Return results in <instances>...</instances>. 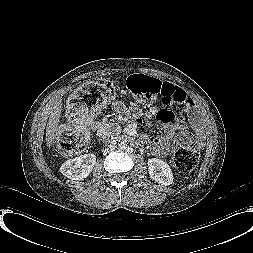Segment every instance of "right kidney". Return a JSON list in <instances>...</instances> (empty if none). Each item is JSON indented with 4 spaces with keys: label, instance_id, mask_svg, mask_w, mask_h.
<instances>
[{
    "label": "right kidney",
    "instance_id": "1",
    "mask_svg": "<svg viewBox=\"0 0 253 253\" xmlns=\"http://www.w3.org/2000/svg\"><path fill=\"white\" fill-rule=\"evenodd\" d=\"M95 164L94 154H84L65 161L60 167V172L69 179L82 180L89 176Z\"/></svg>",
    "mask_w": 253,
    "mask_h": 253
}]
</instances>
